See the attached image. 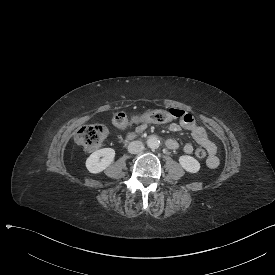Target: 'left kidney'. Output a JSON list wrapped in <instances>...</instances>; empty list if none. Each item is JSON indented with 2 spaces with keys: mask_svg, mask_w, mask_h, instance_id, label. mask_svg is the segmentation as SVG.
I'll list each match as a JSON object with an SVG mask.
<instances>
[{
  "mask_svg": "<svg viewBox=\"0 0 275 275\" xmlns=\"http://www.w3.org/2000/svg\"><path fill=\"white\" fill-rule=\"evenodd\" d=\"M180 165L188 172L196 173L200 169V163L193 157L188 155L180 156Z\"/></svg>",
  "mask_w": 275,
  "mask_h": 275,
  "instance_id": "obj_1",
  "label": "left kidney"
}]
</instances>
